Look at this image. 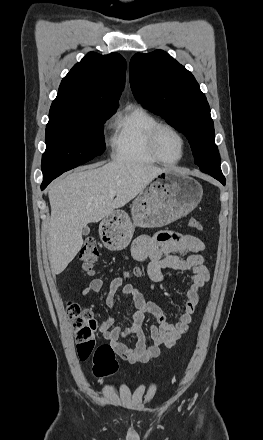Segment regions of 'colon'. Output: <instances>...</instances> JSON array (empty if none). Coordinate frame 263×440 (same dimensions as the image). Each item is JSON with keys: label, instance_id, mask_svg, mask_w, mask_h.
Masks as SVG:
<instances>
[{"label": "colon", "instance_id": "5ec220e1", "mask_svg": "<svg viewBox=\"0 0 263 440\" xmlns=\"http://www.w3.org/2000/svg\"><path fill=\"white\" fill-rule=\"evenodd\" d=\"M189 225L195 230H203L202 223L195 218L190 219ZM79 256L83 269L91 272L93 265L99 258V250L93 238L86 239ZM140 272L139 268L133 270L135 275H139ZM66 311L75 333L79 358L87 360L92 356L93 371L99 378L114 374L117 371L114 351L107 344L97 345L96 339L99 333V325L92 312L76 302H68Z\"/></svg>", "mask_w": 263, "mask_h": 440}]
</instances>
